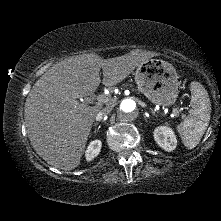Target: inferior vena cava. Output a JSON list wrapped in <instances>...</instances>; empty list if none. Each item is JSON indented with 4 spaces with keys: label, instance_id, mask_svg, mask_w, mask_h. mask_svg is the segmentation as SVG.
I'll return each instance as SVG.
<instances>
[{
    "label": "inferior vena cava",
    "instance_id": "1",
    "mask_svg": "<svg viewBox=\"0 0 221 221\" xmlns=\"http://www.w3.org/2000/svg\"><path fill=\"white\" fill-rule=\"evenodd\" d=\"M111 112V107H105L101 109L97 114H96V121H100L103 119L104 116L108 115Z\"/></svg>",
    "mask_w": 221,
    "mask_h": 221
}]
</instances>
